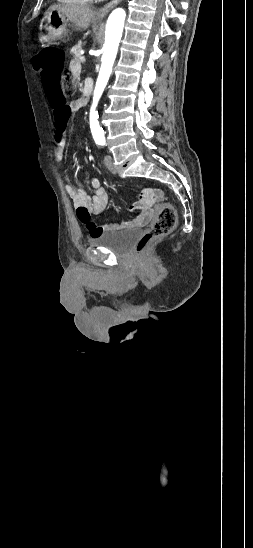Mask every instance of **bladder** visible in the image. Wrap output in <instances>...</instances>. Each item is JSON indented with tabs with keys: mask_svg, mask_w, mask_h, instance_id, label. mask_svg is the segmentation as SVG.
<instances>
[{
	"mask_svg": "<svg viewBox=\"0 0 253 548\" xmlns=\"http://www.w3.org/2000/svg\"><path fill=\"white\" fill-rule=\"evenodd\" d=\"M140 236V229L110 231L97 236H91L89 243L92 246L104 247L115 254H126L131 250Z\"/></svg>",
	"mask_w": 253,
	"mask_h": 548,
	"instance_id": "31cf9c89",
	"label": "bladder"
}]
</instances>
